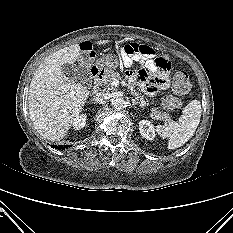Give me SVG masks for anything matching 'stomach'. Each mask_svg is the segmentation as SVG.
<instances>
[{
  "instance_id": "0dacf381",
  "label": "stomach",
  "mask_w": 233,
  "mask_h": 233,
  "mask_svg": "<svg viewBox=\"0 0 233 233\" xmlns=\"http://www.w3.org/2000/svg\"><path fill=\"white\" fill-rule=\"evenodd\" d=\"M118 65L119 59L113 55L105 56L96 63L97 68L106 74L112 73Z\"/></svg>"
}]
</instances>
